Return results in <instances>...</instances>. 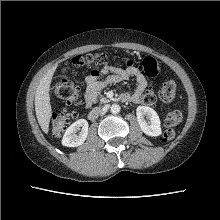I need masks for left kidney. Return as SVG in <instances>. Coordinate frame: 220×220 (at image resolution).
I'll use <instances>...</instances> for the list:
<instances>
[{
	"mask_svg": "<svg viewBox=\"0 0 220 220\" xmlns=\"http://www.w3.org/2000/svg\"><path fill=\"white\" fill-rule=\"evenodd\" d=\"M137 121L141 130L148 136L156 137L161 135L160 119L158 114L153 108L148 106H138L136 109ZM150 121L147 123L144 117Z\"/></svg>",
	"mask_w": 220,
	"mask_h": 220,
	"instance_id": "1",
	"label": "left kidney"
}]
</instances>
